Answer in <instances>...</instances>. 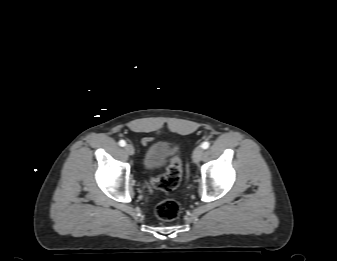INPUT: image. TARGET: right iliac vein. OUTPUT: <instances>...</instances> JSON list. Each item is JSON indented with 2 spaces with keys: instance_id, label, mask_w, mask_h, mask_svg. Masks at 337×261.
Listing matches in <instances>:
<instances>
[{
  "instance_id": "obj_1",
  "label": "right iliac vein",
  "mask_w": 337,
  "mask_h": 261,
  "mask_svg": "<svg viewBox=\"0 0 337 261\" xmlns=\"http://www.w3.org/2000/svg\"><path fill=\"white\" fill-rule=\"evenodd\" d=\"M124 150L129 155H133L134 152H135L134 147L132 145H130V144L125 145Z\"/></svg>"
}]
</instances>
